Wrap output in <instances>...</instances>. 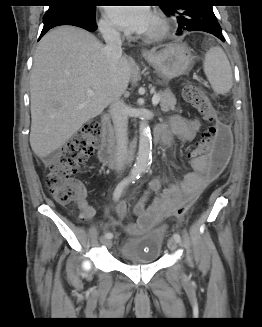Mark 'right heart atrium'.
I'll use <instances>...</instances> for the list:
<instances>
[{
	"mask_svg": "<svg viewBox=\"0 0 262 327\" xmlns=\"http://www.w3.org/2000/svg\"><path fill=\"white\" fill-rule=\"evenodd\" d=\"M98 28H99V31L101 32V34L105 38H119L120 37V32L106 16H103L99 20Z\"/></svg>",
	"mask_w": 262,
	"mask_h": 327,
	"instance_id": "right-heart-atrium-1",
	"label": "right heart atrium"
}]
</instances>
